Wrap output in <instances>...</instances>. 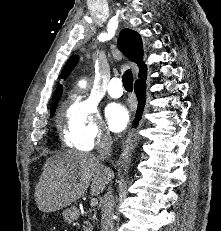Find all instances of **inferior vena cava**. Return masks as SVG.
<instances>
[{
    "mask_svg": "<svg viewBox=\"0 0 221 231\" xmlns=\"http://www.w3.org/2000/svg\"><path fill=\"white\" fill-rule=\"evenodd\" d=\"M112 137L108 132H102L97 142V152L99 153V159L104 161L110 157L112 151ZM108 173V181L114 177L113 171L106 167ZM115 200L113 196V189L111 186L108 187L102 201L101 207V231H115L113 223V210H114Z\"/></svg>",
    "mask_w": 221,
    "mask_h": 231,
    "instance_id": "obj_1",
    "label": "inferior vena cava"
}]
</instances>
